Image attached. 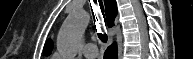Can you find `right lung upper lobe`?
I'll return each instance as SVG.
<instances>
[{"mask_svg": "<svg viewBox=\"0 0 193 59\" xmlns=\"http://www.w3.org/2000/svg\"><path fill=\"white\" fill-rule=\"evenodd\" d=\"M106 19L109 27L114 25V19L117 15V5L115 0H105ZM53 45L51 40H47L44 46V54L48 55L51 52Z\"/></svg>", "mask_w": 193, "mask_h": 59, "instance_id": "cb5924a9", "label": "right lung upper lobe"}]
</instances>
